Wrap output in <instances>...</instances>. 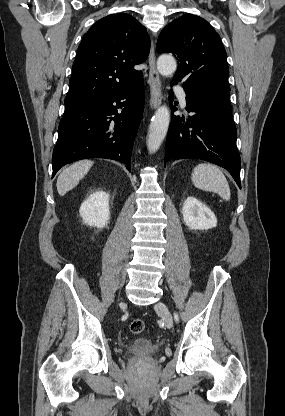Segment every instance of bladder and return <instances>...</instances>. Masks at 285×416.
<instances>
[{"mask_svg":"<svg viewBox=\"0 0 285 416\" xmlns=\"http://www.w3.org/2000/svg\"><path fill=\"white\" fill-rule=\"evenodd\" d=\"M161 347V342L146 336H140L127 341V352L130 355L155 356L160 352Z\"/></svg>","mask_w":285,"mask_h":416,"instance_id":"1","label":"bladder"}]
</instances>
